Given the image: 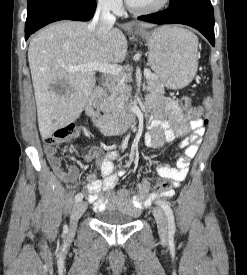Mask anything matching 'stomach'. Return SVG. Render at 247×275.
Returning <instances> with one entry per match:
<instances>
[{
	"instance_id": "0dacf381",
	"label": "stomach",
	"mask_w": 247,
	"mask_h": 275,
	"mask_svg": "<svg viewBox=\"0 0 247 275\" xmlns=\"http://www.w3.org/2000/svg\"><path fill=\"white\" fill-rule=\"evenodd\" d=\"M140 35L147 40L149 65L162 84L172 90L188 85L198 67L192 33L178 26H163Z\"/></svg>"
}]
</instances>
